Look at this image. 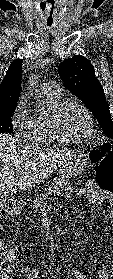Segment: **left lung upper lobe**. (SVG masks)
Instances as JSON below:
<instances>
[{
  "instance_id": "left-lung-upper-lobe-1",
  "label": "left lung upper lobe",
  "mask_w": 113,
  "mask_h": 279,
  "mask_svg": "<svg viewBox=\"0 0 113 279\" xmlns=\"http://www.w3.org/2000/svg\"><path fill=\"white\" fill-rule=\"evenodd\" d=\"M58 72L66 87L93 113L106 136L113 139L109 106L91 62L82 55H76L61 62Z\"/></svg>"
}]
</instances>
